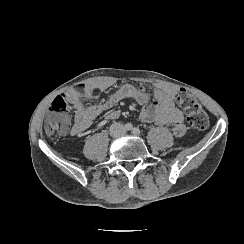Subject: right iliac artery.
Returning <instances> with one entry per match:
<instances>
[{"mask_svg": "<svg viewBox=\"0 0 244 244\" xmlns=\"http://www.w3.org/2000/svg\"><path fill=\"white\" fill-rule=\"evenodd\" d=\"M125 129L128 130V131L132 130L133 129L132 124L131 123H126L125 124Z\"/></svg>", "mask_w": 244, "mask_h": 244, "instance_id": "82829eb1", "label": "right iliac artery"}]
</instances>
